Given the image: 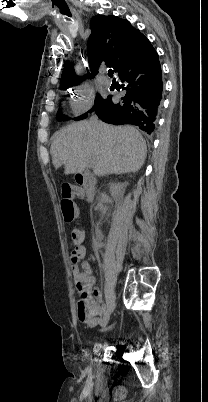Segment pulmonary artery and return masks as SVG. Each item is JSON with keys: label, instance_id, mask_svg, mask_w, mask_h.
Wrapping results in <instances>:
<instances>
[{"label": "pulmonary artery", "instance_id": "pulmonary-artery-1", "mask_svg": "<svg viewBox=\"0 0 208 402\" xmlns=\"http://www.w3.org/2000/svg\"><path fill=\"white\" fill-rule=\"evenodd\" d=\"M98 73H99V75L104 76V75H106L107 70H106V68L101 67V68H99Z\"/></svg>", "mask_w": 208, "mask_h": 402}]
</instances>
